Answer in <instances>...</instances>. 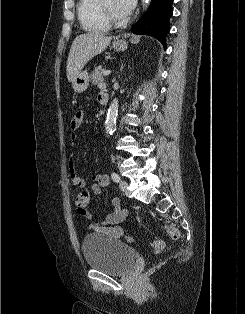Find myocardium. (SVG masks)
<instances>
[{
  "instance_id": "obj_1",
  "label": "myocardium",
  "mask_w": 245,
  "mask_h": 314,
  "mask_svg": "<svg viewBox=\"0 0 245 314\" xmlns=\"http://www.w3.org/2000/svg\"><path fill=\"white\" fill-rule=\"evenodd\" d=\"M103 0H99L98 2V11L99 14L102 18V20L108 25V26H122L124 24L127 23V21L129 20L128 16H125L123 18H116L114 16H112L111 14H109L105 8L103 7L102 4Z\"/></svg>"
}]
</instances>
